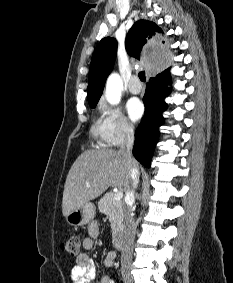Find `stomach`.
I'll use <instances>...</instances> for the list:
<instances>
[{"instance_id":"stomach-1","label":"stomach","mask_w":233,"mask_h":283,"mask_svg":"<svg viewBox=\"0 0 233 283\" xmlns=\"http://www.w3.org/2000/svg\"><path fill=\"white\" fill-rule=\"evenodd\" d=\"M96 214V209L93 203H86L83 206L70 212L65 218L71 226H82L89 223Z\"/></svg>"}]
</instances>
